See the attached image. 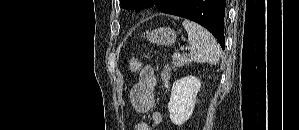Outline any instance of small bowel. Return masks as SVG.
I'll list each match as a JSON object with an SVG mask.
<instances>
[{
	"label": "small bowel",
	"instance_id": "small-bowel-1",
	"mask_svg": "<svg viewBox=\"0 0 299 130\" xmlns=\"http://www.w3.org/2000/svg\"><path fill=\"white\" fill-rule=\"evenodd\" d=\"M157 79L154 69L151 65H145L139 75L138 81L131 88L130 99L134 109L140 113L152 111L155 103V90ZM151 121L155 125L162 122V114L158 111L151 112ZM135 130H151L150 125L146 122H138L134 126Z\"/></svg>",
	"mask_w": 299,
	"mask_h": 130
}]
</instances>
